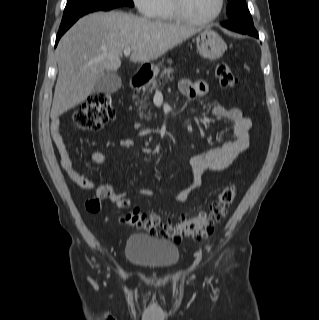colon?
I'll use <instances>...</instances> for the list:
<instances>
[{"mask_svg": "<svg viewBox=\"0 0 319 320\" xmlns=\"http://www.w3.org/2000/svg\"><path fill=\"white\" fill-rule=\"evenodd\" d=\"M215 76L223 87L235 88L238 79L225 61H220L215 68ZM116 116L111 97L106 93L93 95L73 116V125L80 130L95 131L112 121ZM236 194V187L232 184L223 187L213 197L206 209L196 215L183 217L172 221L162 214H145L133 210L123 217V222L132 227L144 230L151 234H162L174 241L185 237L203 238L210 235L216 224L227 214ZM119 207L130 205L127 198L118 202ZM86 209L98 212L101 209L100 201L89 200Z\"/></svg>", "mask_w": 319, "mask_h": 320, "instance_id": "5ec220e1", "label": "colon"}]
</instances>
